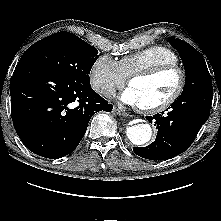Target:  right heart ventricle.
I'll use <instances>...</instances> for the list:
<instances>
[{
  "label": "right heart ventricle",
  "mask_w": 221,
  "mask_h": 221,
  "mask_svg": "<svg viewBox=\"0 0 221 221\" xmlns=\"http://www.w3.org/2000/svg\"><path fill=\"white\" fill-rule=\"evenodd\" d=\"M176 53L163 45H152L140 51L122 57L118 64L126 77L136 71L161 64H178Z\"/></svg>",
  "instance_id": "obj_1"
}]
</instances>
